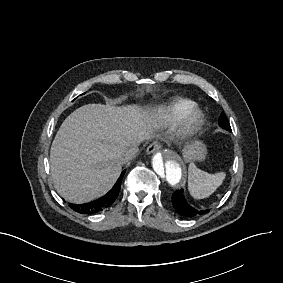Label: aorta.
I'll use <instances>...</instances> for the list:
<instances>
[{
    "label": "aorta",
    "instance_id": "762f6f07",
    "mask_svg": "<svg viewBox=\"0 0 283 283\" xmlns=\"http://www.w3.org/2000/svg\"><path fill=\"white\" fill-rule=\"evenodd\" d=\"M152 171L162 186L176 188L183 182L185 166L178 154L162 150L152 158Z\"/></svg>",
    "mask_w": 283,
    "mask_h": 283
}]
</instances>
